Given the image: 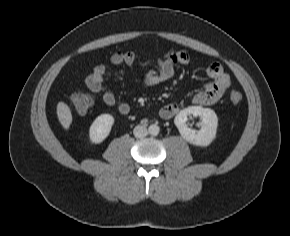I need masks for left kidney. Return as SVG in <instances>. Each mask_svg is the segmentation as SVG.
<instances>
[{"instance_id":"obj_1","label":"left kidney","mask_w":290,"mask_h":236,"mask_svg":"<svg viewBox=\"0 0 290 236\" xmlns=\"http://www.w3.org/2000/svg\"><path fill=\"white\" fill-rule=\"evenodd\" d=\"M191 115L201 118V129L199 131L188 127L186 122ZM174 123L181 136L187 142L197 146H208L216 137L218 117L210 108L190 106L181 110L176 115Z\"/></svg>"}]
</instances>
